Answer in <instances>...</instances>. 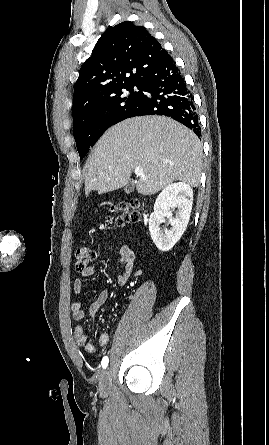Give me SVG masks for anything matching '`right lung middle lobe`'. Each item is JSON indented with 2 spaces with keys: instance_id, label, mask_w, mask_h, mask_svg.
Wrapping results in <instances>:
<instances>
[{
  "instance_id": "obj_1",
  "label": "right lung middle lobe",
  "mask_w": 269,
  "mask_h": 445,
  "mask_svg": "<svg viewBox=\"0 0 269 445\" xmlns=\"http://www.w3.org/2000/svg\"><path fill=\"white\" fill-rule=\"evenodd\" d=\"M136 86L140 91H133ZM127 90L128 92L123 91ZM140 83L95 96L72 109L74 138L80 159H83L99 137L112 125L127 118L142 94ZM101 108L110 110V118L100 119Z\"/></svg>"
}]
</instances>
